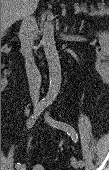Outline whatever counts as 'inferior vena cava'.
Returning <instances> with one entry per match:
<instances>
[{"mask_svg": "<svg viewBox=\"0 0 109 170\" xmlns=\"http://www.w3.org/2000/svg\"><path fill=\"white\" fill-rule=\"evenodd\" d=\"M36 20L33 11H25L20 27L21 52L25 57L26 73L32 102L36 105L39 101L41 75L33 57V44L36 32Z\"/></svg>", "mask_w": 109, "mask_h": 170, "instance_id": "obj_1", "label": "inferior vena cava"}]
</instances>
